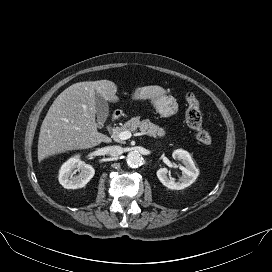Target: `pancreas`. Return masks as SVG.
Wrapping results in <instances>:
<instances>
[{"mask_svg": "<svg viewBox=\"0 0 272 272\" xmlns=\"http://www.w3.org/2000/svg\"><path fill=\"white\" fill-rule=\"evenodd\" d=\"M139 129L142 133H146L148 136H152L154 138H161L164 137L166 131L164 128H161L148 120H140V117H133L129 121L125 122L122 127H117L114 129L113 138L116 142L123 143V140L118 138V133L122 131H130L134 132Z\"/></svg>", "mask_w": 272, "mask_h": 272, "instance_id": "pancreas-1", "label": "pancreas"}]
</instances>
